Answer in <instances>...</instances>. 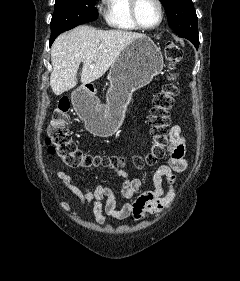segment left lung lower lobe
I'll use <instances>...</instances> for the list:
<instances>
[{"instance_id": "left-lung-lower-lobe-1", "label": "left lung lower lobe", "mask_w": 240, "mask_h": 281, "mask_svg": "<svg viewBox=\"0 0 240 281\" xmlns=\"http://www.w3.org/2000/svg\"><path fill=\"white\" fill-rule=\"evenodd\" d=\"M199 45V39L197 41H195V47L198 48Z\"/></svg>"}]
</instances>
